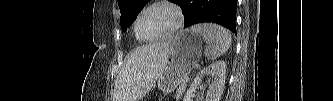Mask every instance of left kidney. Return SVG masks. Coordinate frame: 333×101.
Masks as SVG:
<instances>
[{
  "label": "left kidney",
  "mask_w": 333,
  "mask_h": 101,
  "mask_svg": "<svg viewBox=\"0 0 333 101\" xmlns=\"http://www.w3.org/2000/svg\"><path fill=\"white\" fill-rule=\"evenodd\" d=\"M205 77H212L205 101H220L226 78V63L224 61H216L208 67L200 70L191 83V86L184 97V101H191L193 92L202 87V80Z\"/></svg>",
  "instance_id": "left-kidney-1"
}]
</instances>
